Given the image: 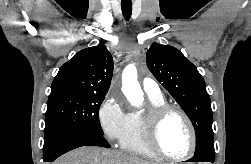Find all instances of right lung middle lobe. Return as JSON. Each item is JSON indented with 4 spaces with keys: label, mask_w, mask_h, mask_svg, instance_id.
Wrapping results in <instances>:
<instances>
[{
    "label": "right lung middle lobe",
    "mask_w": 251,
    "mask_h": 164,
    "mask_svg": "<svg viewBox=\"0 0 251 164\" xmlns=\"http://www.w3.org/2000/svg\"><path fill=\"white\" fill-rule=\"evenodd\" d=\"M105 94L61 91L48 99L44 134L55 128L83 129L103 134L99 108Z\"/></svg>",
    "instance_id": "right-lung-middle-lobe-1"
}]
</instances>
